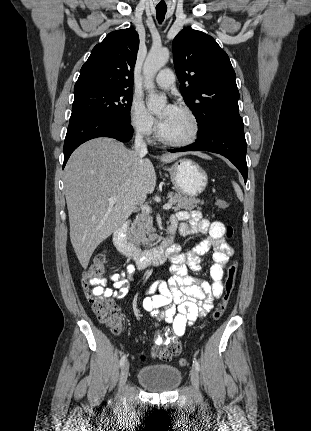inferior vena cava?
<instances>
[{
	"mask_svg": "<svg viewBox=\"0 0 311 431\" xmlns=\"http://www.w3.org/2000/svg\"><path fill=\"white\" fill-rule=\"evenodd\" d=\"M143 138V132H141V130H137L134 140V152L139 154V156H146V154H148L147 144Z\"/></svg>",
	"mask_w": 311,
	"mask_h": 431,
	"instance_id": "1",
	"label": "inferior vena cava"
}]
</instances>
